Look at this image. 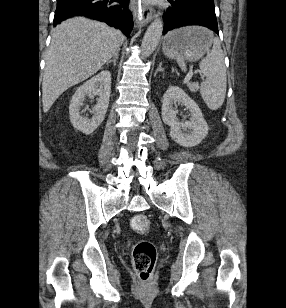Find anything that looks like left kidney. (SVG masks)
<instances>
[{
  "label": "left kidney",
  "instance_id": "1",
  "mask_svg": "<svg viewBox=\"0 0 286 308\" xmlns=\"http://www.w3.org/2000/svg\"><path fill=\"white\" fill-rule=\"evenodd\" d=\"M176 103H181L189 110V121L183 123L177 119L173 108ZM161 114L163 122L170 126L171 138L183 147L198 145L208 134V125L199 106L179 87L171 86L165 92Z\"/></svg>",
  "mask_w": 286,
  "mask_h": 308
}]
</instances>
